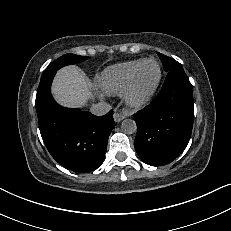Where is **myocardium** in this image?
Instances as JSON below:
<instances>
[{
	"label": "myocardium",
	"instance_id": "obj_1",
	"mask_svg": "<svg viewBox=\"0 0 231 231\" xmlns=\"http://www.w3.org/2000/svg\"><path fill=\"white\" fill-rule=\"evenodd\" d=\"M147 62H154L157 65L158 68V77L157 80L155 82V84L153 85V87L141 98H136L134 96V84H135V79L137 76L138 71L140 70V68ZM162 76H163V72H162V67L160 65V63L153 58H146L143 59L131 72L130 77L127 81L126 86L123 89V98L125 103L134 109H140L143 108L145 106H147L153 99L154 95L156 94L161 80H162Z\"/></svg>",
	"mask_w": 231,
	"mask_h": 231
}]
</instances>
